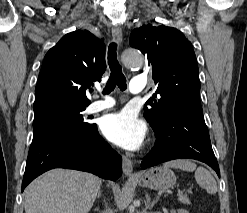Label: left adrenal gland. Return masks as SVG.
<instances>
[{
    "label": "left adrenal gland",
    "mask_w": 247,
    "mask_h": 213,
    "mask_svg": "<svg viewBox=\"0 0 247 213\" xmlns=\"http://www.w3.org/2000/svg\"><path fill=\"white\" fill-rule=\"evenodd\" d=\"M146 200H147V203H146V208L148 209H152L154 207V205L156 204V202L158 201V198H154L152 201H151V198L149 196L148 193H146Z\"/></svg>",
    "instance_id": "1"
}]
</instances>
